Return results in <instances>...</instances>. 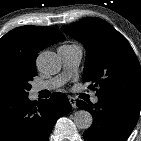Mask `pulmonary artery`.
<instances>
[{
	"instance_id": "obj_1",
	"label": "pulmonary artery",
	"mask_w": 141,
	"mask_h": 141,
	"mask_svg": "<svg viewBox=\"0 0 141 141\" xmlns=\"http://www.w3.org/2000/svg\"><path fill=\"white\" fill-rule=\"evenodd\" d=\"M63 63V71L45 81H42L34 86V93L43 90H53L63 86L71 73L79 66L82 58V48L79 45H62L57 50ZM93 103L98 102V97L92 98Z\"/></svg>"
}]
</instances>
